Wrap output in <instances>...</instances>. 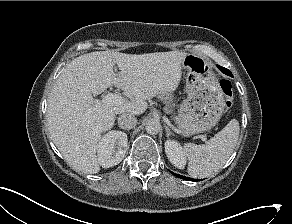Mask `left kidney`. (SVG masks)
I'll use <instances>...</instances> for the list:
<instances>
[{"label":"left kidney","mask_w":292,"mask_h":224,"mask_svg":"<svg viewBox=\"0 0 292 224\" xmlns=\"http://www.w3.org/2000/svg\"><path fill=\"white\" fill-rule=\"evenodd\" d=\"M165 152L170 162L178 169H184L186 165V154L181 145L174 140L165 142Z\"/></svg>","instance_id":"5707ae66"}]
</instances>
